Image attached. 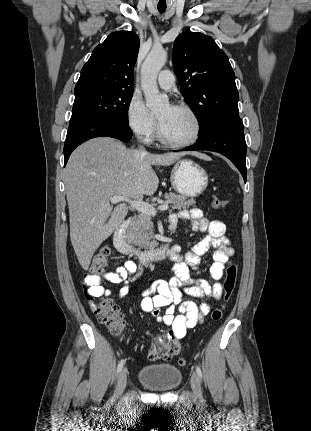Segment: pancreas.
Wrapping results in <instances>:
<instances>
[{
	"label": "pancreas",
	"mask_w": 311,
	"mask_h": 431,
	"mask_svg": "<svg viewBox=\"0 0 311 431\" xmlns=\"http://www.w3.org/2000/svg\"><path fill=\"white\" fill-rule=\"evenodd\" d=\"M165 200H170L172 206L169 212L172 210H187L189 206H194L196 200L193 198H187V196H178V194H164ZM152 217L148 214H138V216L133 217L129 227H127V241L128 243H133V245H138L139 249L144 247V249H154L157 247L158 241L154 235L153 221Z\"/></svg>",
	"instance_id": "cf45deb5"
}]
</instances>
